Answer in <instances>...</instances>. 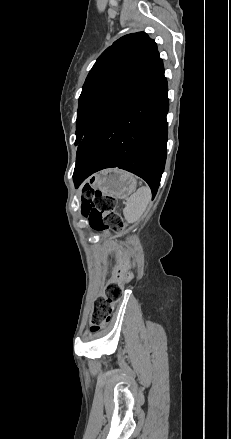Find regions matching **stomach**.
Instances as JSON below:
<instances>
[{
	"mask_svg": "<svg viewBox=\"0 0 231 439\" xmlns=\"http://www.w3.org/2000/svg\"><path fill=\"white\" fill-rule=\"evenodd\" d=\"M93 186L103 195L124 199L136 188V179L130 173L119 169H108L98 173Z\"/></svg>",
	"mask_w": 231,
	"mask_h": 439,
	"instance_id": "obj_1",
	"label": "stomach"
}]
</instances>
